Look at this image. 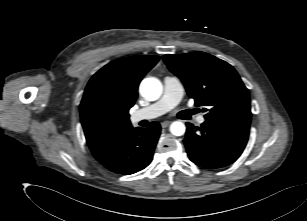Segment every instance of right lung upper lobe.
Instances as JSON below:
<instances>
[{
  "instance_id": "right-lung-upper-lobe-1",
  "label": "right lung upper lobe",
  "mask_w": 307,
  "mask_h": 221,
  "mask_svg": "<svg viewBox=\"0 0 307 221\" xmlns=\"http://www.w3.org/2000/svg\"><path fill=\"white\" fill-rule=\"evenodd\" d=\"M159 59L148 55L116 59L90 79L80 104V116L92 153L132 128L128 111L137 99L138 85Z\"/></svg>"
}]
</instances>
